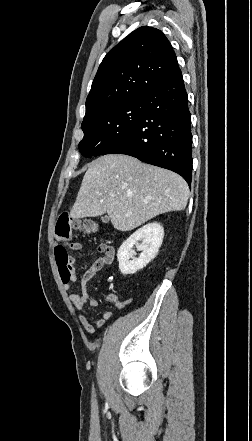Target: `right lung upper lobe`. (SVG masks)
<instances>
[{"instance_id": "1", "label": "right lung upper lobe", "mask_w": 252, "mask_h": 441, "mask_svg": "<svg viewBox=\"0 0 252 441\" xmlns=\"http://www.w3.org/2000/svg\"><path fill=\"white\" fill-rule=\"evenodd\" d=\"M164 33L143 26L125 37L102 60L86 100L84 119L140 99L178 69Z\"/></svg>"}]
</instances>
